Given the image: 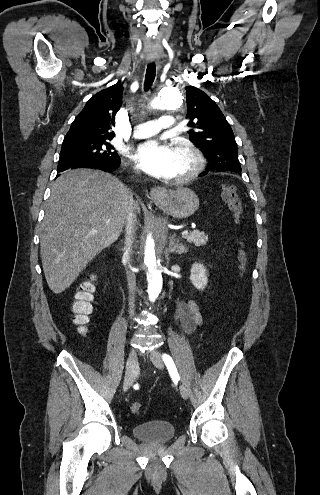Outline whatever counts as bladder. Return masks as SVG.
<instances>
[{
  "mask_svg": "<svg viewBox=\"0 0 320 495\" xmlns=\"http://www.w3.org/2000/svg\"><path fill=\"white\" fill-rule=\"evenodd\" d=\"M133 434L146 442L163 443L175 436L176 429L171 422L154 420L136 424Z\"/></svg>",
  "mask_w": 320,
  "mask_h": 495,
  "instance_id": "31cf9c89",
  "label": "bladder"
}]
</instances>
